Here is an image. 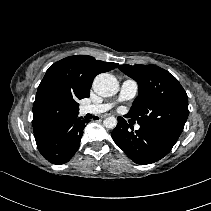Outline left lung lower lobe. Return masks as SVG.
Segmentation results:
<instances>
[{
    "label": "left lung lower lobe",
    "mask_w": 211,
    "mask_h": 211,
    "mask_svg": "<svg viewBox=\"0 0 211 211\" xmlns=\"http://www.w3.org/2000/svg\"><path fill=\"white\" fill-rule=\"evenodd\" d=\"M117 119L118 124L111 133L112 139L137 164H151L162 159L175 144L152 129L140 127L134 131L125 119Z\"/></svg>",
    "instance_id": "obj_1"
}]
</instances>
